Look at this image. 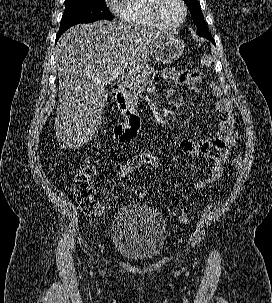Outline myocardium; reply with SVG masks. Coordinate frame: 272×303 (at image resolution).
I'll return each instance as SVG.
<instances>
[{
    "instance_id": "myocardium-1",
    "label": "myocardium",
    "mask_w": 272,
    "mask_h": 303,
    "mask_svg": "<svg viewBox=\"0 0 272 303\" xmlns=\"http://www.w3.org/2000/svg\"><path fill=\"white\" fill-rule=\"evenodd\" d=\"M179 4L181 5L182 8V17L181 19L174 23V24H169L166 23L161 15H160V6L162 3V0H152V5H151V12H152V16L154 18V20L162 27L165 29H175L178 28L179 26H181L187 17V6L184 0H178Z\"/></svg>"
}]
</instances>
